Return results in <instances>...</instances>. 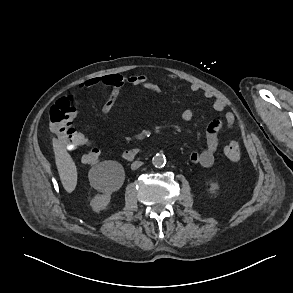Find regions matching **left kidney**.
<instances>
[{
	"instance_id": "left-kidney-1",
	"label": "left kidney",
	"mask_w": 293,
	"mask_h": 293,
	"mask_svg": "<svg viewBox=\"0 0 293 293\" xmlns=\"http://www.w3.org/2000/svg\"><path fill=\"white\" fill-rule=\"evenodd\" d=\"M218 188H219V186H218L217 183L211 182L210 183V189H209V191L211 193H216V191L218 190Z\"/></svg>"
}]
</instances>
